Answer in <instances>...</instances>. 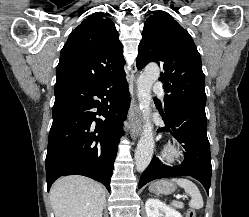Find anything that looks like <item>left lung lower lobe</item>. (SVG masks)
<instances>
[{
    "instance_id": "1",
    "label": "left lung lower lobe",
    "mask_w": 249,
    "mask_h": 217,
    "mask_svg": "<svg viewBox=\"0 0 249 217\" xmlns=\"http://www.w3.org/2000/svg\"><path fill=\"white\" fill-rule=\"evenodd\" d=\"M165 113L166 115H162L165 128L159 131H169L183 143L185 159L180 166L169 167L153 156L140 178L139 188L155 179L191 176L200 181L209 194L212 167L205 108L180 103L170 107Z\"/></svg>"
}]
</instances>
